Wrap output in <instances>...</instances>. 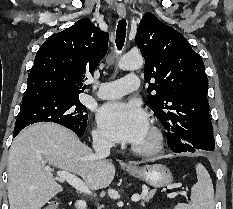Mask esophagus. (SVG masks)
I'll list each match as a JSON object with an SVG mask.
<instances>
[{
	"label": "esophagus",
	"instance_id": "obj_1",
	"mask_svg": "<svg viewBox=\"0 0 233 209\" xmlns=\"http://www.w3.org/2000/svg\"><path fill=\"white\" fill-rule=\"evenodd\" d=\"M117 13L120 17H125L126 16V8L124 5L119 4L117 6Z\"/></svg>",
	"mask_w": 233,
	"mask_h": 209
}]
</instances>
